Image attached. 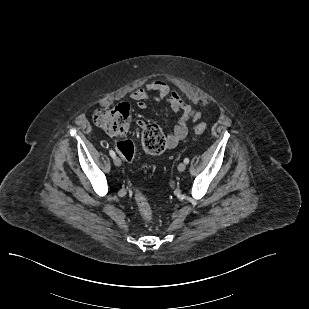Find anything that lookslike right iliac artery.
<instances>
[{"mask_svg":"<svg viewBox=\"0 0 309 309\" xmlns=\"http://www.w3.org/2000/svg\"><path fill=\"white\" fill-rule=\"evenodd\" d=\"M109 154L112 158H115L116 157V154L113 150H109Z\"/></svg>","mask_w":309,"mask_h":309,"instance_id":"right-iliac-artery-1","label":"right iliac artery"}]
</instances>
